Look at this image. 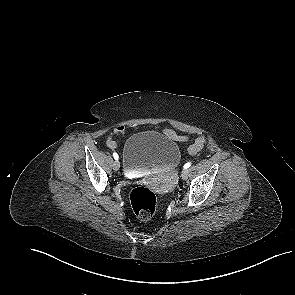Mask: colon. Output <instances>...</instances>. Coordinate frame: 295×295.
Instances as JSON below:
<instances>
[{"instance_id":"colon-1","label":"colon","mask_w":295,"mask_h":295,"mask_svg":"<svg viewBox=\"0 0 295 295\" xmlns=\"http://www.w3.org/2000/svg\"><path fill=\"white\" fill-rule=\"evenodd\" d=\"M129 203L135 215L141 220L151 219L158 207L155 194L142 186L130 190Z\"/></svg>"}]
</instances>
